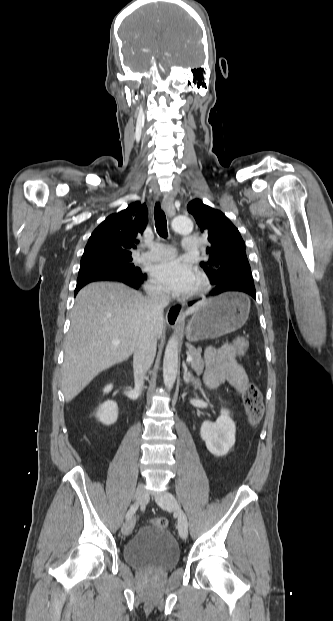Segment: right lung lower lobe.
Segmentation results:
<instances>
[{
    "label": "right lung lower lobe",
    "mask_w": 333,
    "mask_h": 621,
    "mask_svg": "<svg viewBox=\"0 0 333 621\" xmlns=\"http://www.w3.org/2000/svg\"><path fill=\"white\" fill-rule=\"evenodd\" d=\"M147 279L145 274L140 276H121L107 273H86L78 275L75 295L86 284L94 281H116L122 282L132 288L139 289L140 285Z\"/></svg>",
    "instance_id": "98d812e1"
}]
</instances>
